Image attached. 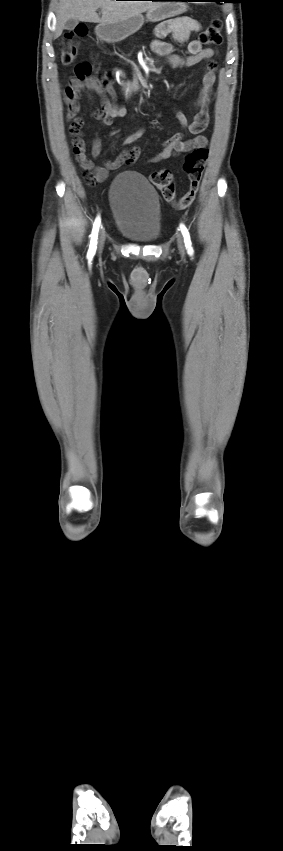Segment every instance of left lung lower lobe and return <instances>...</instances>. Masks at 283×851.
I'll use <instances>...</instances> for the list:
<instances>
[{"instance_id": "left-lung-lower-lobe-1", "label": "left lung lower lobe", "mask_w": 283, "mask_h": 851, "mask_svg": "<svg viewBox=\"0 0 283 851\" xmlns=\"http://www.w3.org/2000/svg\"><path fill=\"white\" fill-rule=\"evenodd\" d=\"M169 1H171V0H169ZM184 1H195V0H184ZM205 1H216V0H205Z\"/></svg>"}]
</instances>
